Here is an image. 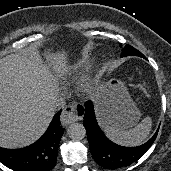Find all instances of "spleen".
<instances>
[{
  "mask_svg": "<svg viewBox=\"0 0 171 171\" xmlns=\"http://www.w3.org/2000/svg\"><path fill=\"white\" fill-rule=\"evenodd\" d=\"M101 125L107 137L113 142L123 146L135 147L141 145L149 136L152 129V119L148 116L130 130H122L107 124Z\"/></svg>",
  "mask_w": 171,
  "mask_h": 171,
  "instance_id": "obj_1",
  "label": "spleen"
}]
</instances>
